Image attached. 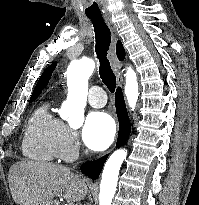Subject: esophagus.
I'll list each match as a JSON object with an SVG mask.
<instances>
[{
  "label": "esophagus",
  "mask_w": 199,
  "mask_h": 205,
  "mask_svg": "<svg viewBox=\"0 0 199 205\" xmlns=\"http://www.w3.org/2000/svg\"><path fill=\"white\" fill-rule=\"evenodd\" d=\"M105 22L107 23V25L111 31V38H112L111 44H110V49H109V59H110V62L112 64L113 69L116 72L117 84L119 86H121L123 79L119 73L120 63L117 59L116 52H115V45H116V41L118 38L117 30H116L115 24L113 23V21L110 17H105Z\"/></svg>",
  "instance_id": "34e87169"
}]
</instances>
